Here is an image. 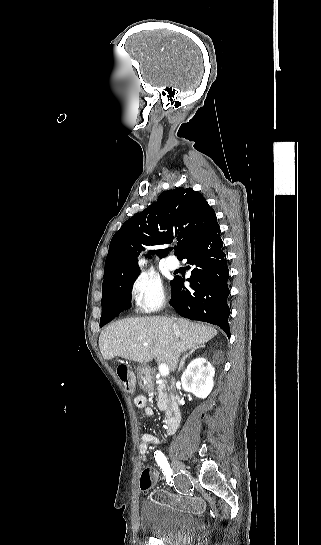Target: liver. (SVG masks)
Instances as JSON below:
<instances>
[{"mask_svg":"<svg viewBox=\"0 0 321 545\" xmlns=\"http://www.w3.org/2000/svg\"><path fill=\"white\" fill-rule=\"evenodd\" d=\"M217 335L214 327L168 317H133L104 327L99 349L104 359L122 357L136 363L156 359L175 371L181 353L204 345ZM144 343H148L144 347Z\"/></svg>","mask_w":321,"mask_h":545,"instance_id":"6515ba94","label":"liver"}]
</instances>
